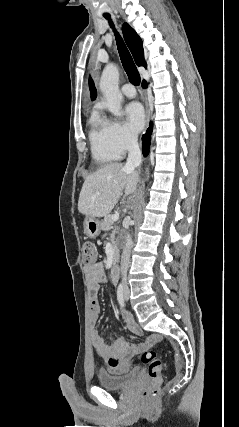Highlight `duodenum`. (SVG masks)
I'll return each mask as SVG.
<instances>
[{
	"label": "duodenum",
	"mask_w": 239,
	"mask_h": 427,
	"mask_svg": "<svg viewBox=\"0 0 239 427\" xmlns=\"http://www.w3.org/2000/svg\"><path fill=\"white\" fill-rule=\"evenodd\" d=\"M120 276V268L117 260H114L111 266V278L114 282L118 281Z\"/></svg>",
	"instance_id": "obj_1"
}]
</instances>
